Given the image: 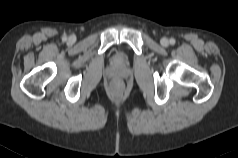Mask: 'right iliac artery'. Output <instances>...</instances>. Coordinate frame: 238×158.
Returning <instances> with one entry per match:
<instances>
[{
    "label": "right iliac artery",
    "instance_id": "obj_1",
    "mask_svg": "<svg viewBox=\"0 0 238 158\" xmlns=\"http://www.w3.org/2000/svg\"><path fill=\"white\" fill-rule=\"evenodd\" d=\"M62 40H63V41H66V40H67V37H66V36H63V37H62Z\"/></svg>",
    "mask_w": 238,
    "mask_h": 158
}]
</instances>
